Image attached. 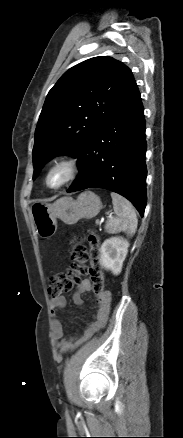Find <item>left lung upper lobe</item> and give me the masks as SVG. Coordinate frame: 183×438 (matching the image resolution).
<instances>
[{
	"mask_svg": "<svg viewBox=\"0 0 183 438\" xmlns=\"http://www.w3.org/2000/svg\"><path fill=\"white\" fill-rule=\"evenodd\" d=\"M135 84L131 70L107 56L88 59L65 72L49 91L38 120L33 177L55 155L78 157L88 138Z\"/></svg>",
	"mask_w": 183,
	"mask_h": 438,
	"instance_id": "1",
	"label": "left lung upper lobe"
}]
</instances>
